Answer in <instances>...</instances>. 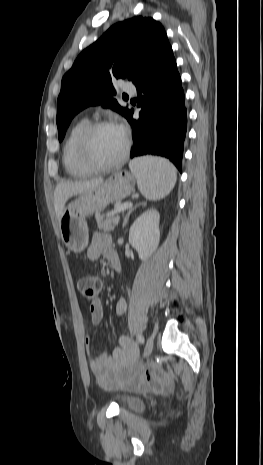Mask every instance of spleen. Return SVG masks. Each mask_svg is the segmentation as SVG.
<instances>
[{
  "mask_svg": "<svg viewBox=\"0 0 263 465\" xmlns=\"http://www.w3.org/2000/svg\"><path fill=\"white\" fill-rule=\"evenodd\" d=\"M129 168L137 179L138 189L148 200L166 197L176 183V169L165 158L145 156L132 160Z\"/></svg>",
  "mask_w": 263,
  "mask_h": 465,
  "instance_id": "spleen-1",
  "label": "spleen"
}]
</instances>
